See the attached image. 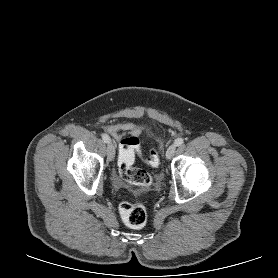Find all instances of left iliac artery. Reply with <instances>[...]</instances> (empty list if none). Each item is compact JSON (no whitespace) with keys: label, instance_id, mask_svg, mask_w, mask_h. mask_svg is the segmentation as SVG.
Returning <instances> with one entry per match:
<instances>
[{"label":"left iliac artery","instance_id":"1","mask_svg":"<svg viewBox=\"0 0 278 278\" xmlns=\"http://www.w3.org/2000/svg\"><path fill=\"white\" fill-rule=\"evenodd\" d=\"M184 143V139L183 138H177L174 142V144L176 146H181Z\"/></svg>","mask_w":278,"mask_h":278}]
</instances>
